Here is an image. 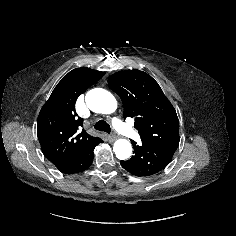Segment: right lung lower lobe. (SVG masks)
<instances>
[{
  "label": "right lung lower lobe",
  "instance_id": "obj_1",
  "mask_svg": "<svg viewBox=\"0 0 236 236\" xmlns=\"http://www.w3.org/2000/svg\"><path fill=\"white\" fill-rule=\"evenodd\" d=\"M103 141H99L90 147L78 152L75 155L56 161L53 164L56 168L65 174H74L86 170L92 164L94 157V148Z\"/></svg>",
  "mask_w": 236,
  "mask_h": 236
}]
</instances>
